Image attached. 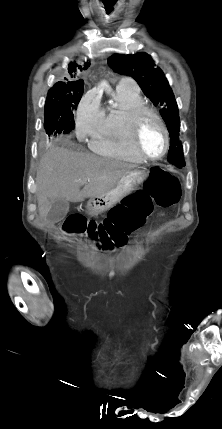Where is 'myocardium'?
Here are the masks:
<instances>
[{
    "label": "myocardium",
    "mask_w": 222,
    "mask_h": 429,
    "mask_svg": "<svg viewBox=\"0 0 222 429\" xmlns=\"http://www.w3.org/2000/svg\"><path fill=\"white\" fill-rule=\"evenodd\" d=\"M150 115L157 120L159 123L164 139H165V147L162 153L158 156H149L146 154L140 146L139 142V130L141 126V122L144 116ZM129 139L130 144L134 151L143 159L147 161H157L164 158L170 148V136L168 129L162 119V117L152 108L141 105L133 110L129 118Z\"/></svg>",
    "instance_id": "myocardium-1"
}]
</instances>
